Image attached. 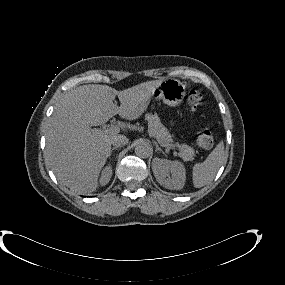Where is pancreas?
I'll return each mask as SVG.
<instances>
[{"label":"pancreas","mask_w":285,"mask_h":285,"mask_svg":"<svg viewBox=\"0 0 285 285\" xmlns=\"http://www.w3.org/2000/svg\"><path fill=\"white\" fill-rule=\"evenodd\" d=\"M145 119L148 121V133L150 136L156 138L157 140L166 142L168 144L174 142L171 134L169 133L168 129L165 128L164 125L161 123L158 115L146 114ZM176 146L180 150L179 156L184 161L193 160L195 151L192 147L186 144H181V145L177 144Z\"/></svg>","instance_id":"obj_1"}]
</instances>
